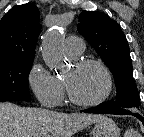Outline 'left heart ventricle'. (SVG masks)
Instances as JSON below:
<instances>
[{"label":"left heart ventricle","mask_w":144,"mask_h":137,"mask_svg":"<svg viewBox=\"0 0 144 137\" xmlns=\"http://www.w3.org/2000/svg\"><path fill=\"white\" fill-rule=\"evenodd\" d=\"M74 97L81 101H92L105 91L106 79L102 71L95 66L76 68L72 66L64 75Z\"/></svg>","instance_id":"b2bd125f"}]
</instances>
